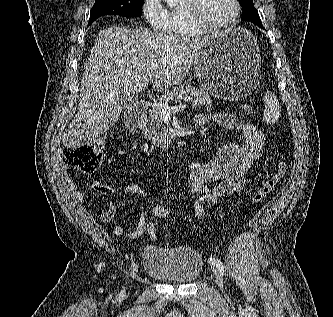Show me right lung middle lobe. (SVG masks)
Wrapping results in <instances>:
<instances>
[{"label":"right lung middle lobe","instance_id":"dd1d6c3e","mask_svg":"<svg viewBox=\"0 0 333 317\" xmlns=\"http://www.w3.org/2000/svg\"><path fill=\"white\" fill-rule=\"evenodd\" d=\"M144 0H95L90 12L89 25L105 15L140 16Z\"/></svg>","mask_w":333,"mask_h":317}]
</instances>
